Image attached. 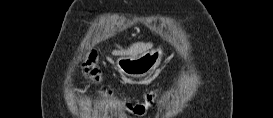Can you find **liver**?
<instances>
[{"mask_svg":"<svg viewBox=\"0 0 273 118\" xmlns=\"http://www.w3.org/2000/svg\"><path fill=\"white\" fill-rule=\"evenodd\" d=\"M153 47V44L148 42H137L133 43L129 48L125 50H114L112 52L113 55H127V56H138L147 51H149Z\"/></svg>","mask_w":273,"mask_h":118,"instance_id":"obj_1","label":"liver"}]
</instances>
